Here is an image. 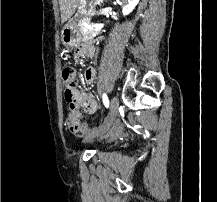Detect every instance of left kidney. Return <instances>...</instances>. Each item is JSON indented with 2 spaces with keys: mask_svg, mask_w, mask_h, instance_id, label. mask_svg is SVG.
<instances>
[{
  "mask_svg": "<svg viewBox=\"0 0 217 202\" xmlns=\"http://www.w3.org/2000/svg\"><path fill=\"white\" fill-rule=\"evenodd\" d=\"M118 4H124L122 14L123 16H128L139 4V0H117Z\"/></svg>",
  "mask_w": 217,
  "mask_h": 202,
  "instance_id": "obj_1",
  "label": "left kidney"
}]
</instances>
